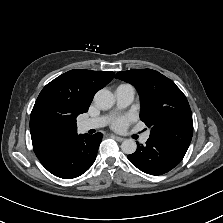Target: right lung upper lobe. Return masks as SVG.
Segmentation results:
<instances>
[{"label": "right lung upper lobe", "instance_id": "1", "mask_svg": "<svg viewBox=\"0 0 223 223\" xmlns=\"http://www.w3.org/2000/svg\"><path fill=\"white\" fill-rule=\"evenodd\" d=\"M114 75V72L74 69L58 76L42 89L30 117L31 139L38 159L51 154L77 134V126L72 123L58 129L46 127L44 117L57 114L76 119L88 111L95 93Z\"/></svg>", "mask_w": 223, "mask_h": 223}]
</instances>
